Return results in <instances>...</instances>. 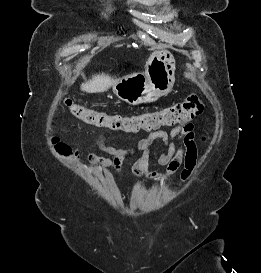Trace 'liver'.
Masks as SVG:
<instances>
[{
  "mask_svg": "<svg viewBox=\"0 0 261 273\" xmlns=\"http://www.w3.org/2000/svg\"><path fill=\"white\" fill-rule=\"evenodd\" d=\"M119 80L104 73L92 76L90 80L81 84V91L87 93H98L107 91L114 86Z\"/></svg>",
  "mask_w": 261,
  "mask_h": 273,
  "instance_id": "obj_1",
  "label": "liver"
}]
</instances>
